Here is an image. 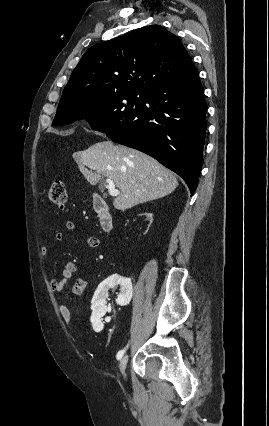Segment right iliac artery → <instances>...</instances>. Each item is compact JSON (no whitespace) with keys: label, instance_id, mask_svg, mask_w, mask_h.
<instances>
[{"label":"right iliac artery","instance_id":"right-iliac-artery-1","mask_svg":"<svg viewBox=\"0 0 269 426\" xmlns=\"http://www.w3.org/2000/svg\"><path fill=\"white\" fill-rule=\"evenodd\" d=\"M128 345H129V344H128ZM128 345H127V346H126L123 350H120V351L117 353V359H118V360L122 358L123 354L125 353L126 349L128 348Z\"/></svg>","mask_w":269,"mask_h":426}]
</instances>
